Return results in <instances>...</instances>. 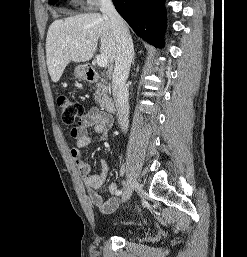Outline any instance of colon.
I'll return each instance as SVG.
<instances>
[{"instance_id":"1","label":"colon","mask_w":247,"mask_h":257,"mask_svg":"<svg viewBox=\"0 0 247 257\" xmlns=\"http://www.w3.org/2000/svg\"><path fill=\"white\" fill-rule=\"evenodd\" d=\"M57 105L61 112L62 121L66 125H73L84 116L83 105L68 96H59L57 98Z\"/></svg>"}]
</instances>
